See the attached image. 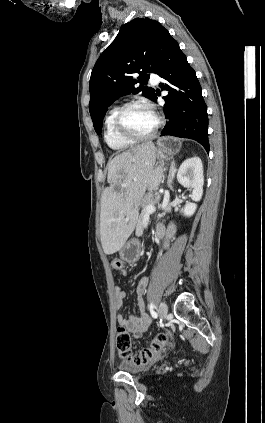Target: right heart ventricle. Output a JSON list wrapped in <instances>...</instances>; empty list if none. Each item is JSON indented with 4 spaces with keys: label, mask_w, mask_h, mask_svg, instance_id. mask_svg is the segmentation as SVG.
<instances>
[{
    "label": "right heart ventricle",
    "mask_w": 265,
    "mask_h": 423,
    "mask_svg": "<svg viewBox=\"0 0 265 423\" xmlns=\"http://www.w3.org/2000/svg\"><path fill=\"white\" fill-rule=\"evenodd\" d=\"M120 109V106H114L111 108L104 123V140L109 148L117 152L125 151L135 144L134 142L121 138L115 130V117Z\"/></svg>",
    "instance_id": "e07e8e85"
}]
</instances>
